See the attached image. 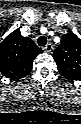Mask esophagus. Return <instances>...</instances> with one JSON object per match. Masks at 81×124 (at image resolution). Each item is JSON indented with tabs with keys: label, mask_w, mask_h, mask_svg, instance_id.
<instances>
[{
	"label": "esophagus",
	"mask_w": 81,
	"mask_h": 124,
	"mask_svg": "<svg viewBox=\"0 0 81 124\" xmlns=\"http://www.w3.org/2000/svg\"><path fill=\"white\" fill-rule=\"evenodd\" d=\"M43 50L45 52H51L53 50V46L51 43H48L47 45H45V47H43Z\"/></svg>",
	"instance_id": "obj_1"
}]
</instances>
